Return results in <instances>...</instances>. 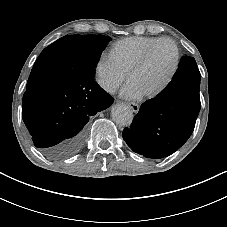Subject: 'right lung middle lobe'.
<instances>
[{"instance_id": "right-lung-middle-lobe-1", "label": "right lung middle lobe", "mask_w": 227, "mask_h": 227, "mask_svg": "<svg viewBox=\"0 0 227 227\" xmlns=\"http://www.w3.org/2000/svg\"><path fill=\"white\" fill-rule=\"evenodd\" d=\"M109 41L111 38L104 35H66L58 39L36 60L26 89L40 85L52 74L68 81H93L95 68Z\"/></svg>"}]
</instances>
